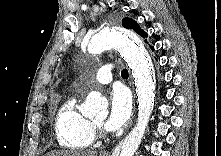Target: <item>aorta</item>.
Instances as JSON below:
<instances>
[{
	"label": "aorta",
	"instance_id": "obj_1",
	"mask_svg": "<svg viewBox=\"0 0 221 156\" xmlns=\"http://www.w3.org/2000/svg\"><path fill=\"white\" fill-rule=\"evenodd\" d=\"M115 49L130 66L138 96V119L135 127L124 139L121 149L114 156H133L138 149L154 107L155 72L151 58L141 40L131 31L109 27L94 34L88 44L89 53ZM87 118H105L108 101L97 91L88 94L80 108Z\"/></svg>",
	"mask_w": 221,
	"mask_h": 156
}]
</instances>
